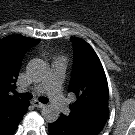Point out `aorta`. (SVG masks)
Masks as SVG:
<instances>
[{"mask_svg":"<svg viewBox=\"0 0 135 135\" xmlns=\"http://www.w3.org/2000/svg\"><path fill=\"white\" fill-rule=\"evenodd\" d=\"M27 71L34 79H42L48 73V66L42 59H32L27 65ZM41 114L46 122L53 123L58 120L60 111L57 106L49 104L42 109Z\"/></svg>","mask_w":135,"mask_h":135,"instance_id":"1","label":"aorta"}]
</instances>
